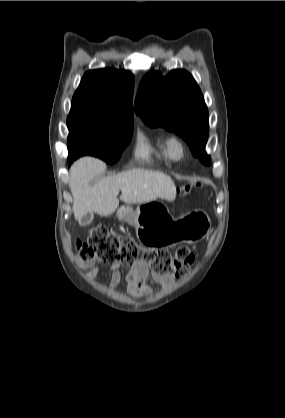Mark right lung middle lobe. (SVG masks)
<instances>
[{"label":"right lung middle lobe","mask_w":285,"mask_h":418,"mask_svg":"<svg viewBox=\"0 0 285 418\" xmlns=\"http://www.w3.org/2000/svg\"><path fill=\"white\" fill-rule=\"evenodd\" d=\"M67 126L68 162L91 155L114 164L130 142L133 130V126L80 116H68Z\"/></svg>","instance_id":"obj_1"}]
</instances>
